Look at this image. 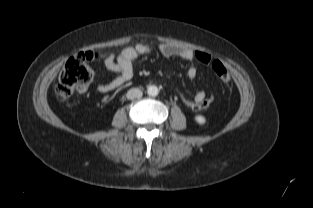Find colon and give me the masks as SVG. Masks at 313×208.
<instances>
[{
    "label": "colon",
    "instance_id": "5ec220e1",
    "mask_svg": "<svg viewBox=\"0 0 313 208\" xmlns=\"http://www.w3.org/2000/svg\"><path fill=\"white\" fill-rule=\"evenodd\" d=\"M195 59L202 64H211L218 79L224 85H229L231 77L221 61H212L209 54L200 51L195 52ZM91 60H93V53L86 52L75 55L67 61L59 75L55 87V94L58 100L65 101L75 91H82L89 85L93 79V70L88 64ZM184 101L190 108L200 110L208 107L212 103L213 96L206 97L200 103H195L193 100L188 99H184Z\"/></svg>",
    "mask_w": 313,
    "mask_h": 208
}]
</instances>
